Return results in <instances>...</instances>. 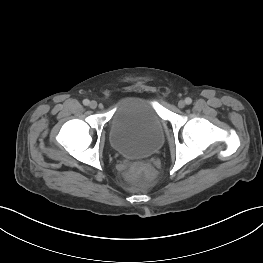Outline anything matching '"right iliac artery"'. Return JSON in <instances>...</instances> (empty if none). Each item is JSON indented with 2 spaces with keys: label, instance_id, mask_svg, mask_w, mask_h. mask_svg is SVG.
I'll list each match as a JSON object with an SVG mask.
<instances>
[{
  "label": "right iliac artery",
  "instance_id": "82829eb1",
  "mask_svg": "<svg viewBox=\"0 0 263 263\" xmlns=\"http://www.w3.org/2000/svg\"><path fill=\"white\" fill-rule=\"evenodd\" d=\"M83 104H84L85 106H88V105L90 104V101H89L88 99H84V100H83Z\"/></svg>",
  "mask_w": 263,
  "mask_h": 263
}]
</instances>
